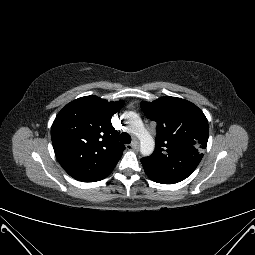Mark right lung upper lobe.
Returning a JSON list of instances; mask_svg holds the SVG:
<instances>
[{"mask_svg": "<svg viewBox=\"0 0 255 255\" xmlns=\"http://www.w3.org/2000/svg\"><path fill=\"white\" fill-rule=\"evenodd\" d=\"M124 105L97 96L78 98L67 104L56 116L51 138L57 160L74 179L100 181L116 166L125 146L111 117Z\"/></svg>", "mask_w": 255, "mask_h": 255, "instance_id": "cb5924a9", "label": "right lung upper lobe"}]
</instances>
